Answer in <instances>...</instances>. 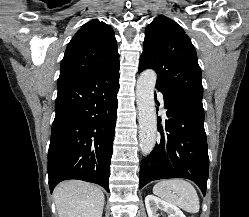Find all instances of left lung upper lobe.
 <instances>
[{
  "mask_svg": "<svg viewBox=\"0 0 249 217\" xmlns=\"http://www.w3.org/2000/svg\"><path fill=\"white\" fill-rule=\"evenodd\" d=\"M154 69L156 87L203 97L201 70L196 50L185 31L170 18L160 15L145 30L138 72Z\"/></svg>",
  "mask_w": 249,
  "mask_h": 217,
  "instance_id": "left-lung-upper-lobe-1",
  "label": "left lung upper lobe"
}]
</instances>
